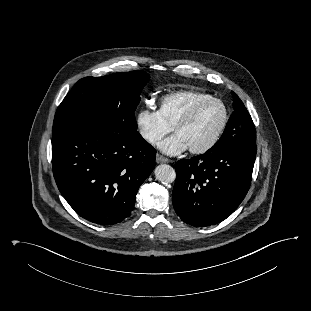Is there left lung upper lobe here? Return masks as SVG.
Returning a JSON list of instances; mask_svg holds the SVG:
<instances>
[{
	"label": "left lung upper lobe",
	"instance_id": "5c2ea615",
	"mask_svg": "<svg viewBox=\"0 0 311 311\" xmlns=\"http://www.w3.org/2000/svg\"><path fill=\"white\" fill-rule=\"evenodd\" d=\"M233 108L226 128L218 142L210 150H219L238 143L256 144L255 126L240 98L232 92Z\"/></svg>",
	"mask_w": 311,
	"mask_h": 311
}]
</instances>
